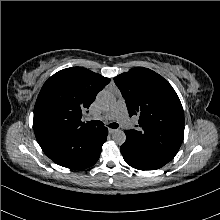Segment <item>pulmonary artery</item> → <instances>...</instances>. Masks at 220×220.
<instances>
[{
  "label": "pulmonary artery",
  "instance_id": "e3ab8cb5",
  "mask_svg": "<svg viewBox=\"0 0 220 220\" xmlns=\"http://www.w3.org/2000/svg\"><path fill=\"white\" fill-rule=\"evenodd\" d=\"M97 119H115L119 121L125 128L131 129L133 127V122L128 115L127 107L123 98H119L117 100L114 108L110 112L98 117Z\"/></svg>",
  "mask_w": 220,
  "mask_h": 220
}]
</instances>
